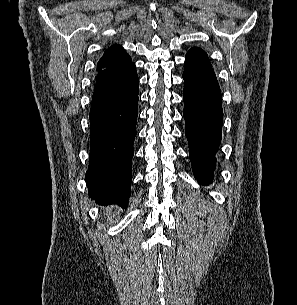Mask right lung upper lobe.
<instances>
[{"mask_svg":"<svg viewBox=\"0 0 297 305\" xmlns=\"http://www.w3.org/2000/svg\"><path fill=\"white\" fill-rule=\"evenodd\" d=\"M131 63L130 56L119 45L115 44L108 48L98 62V74L96 82L105 80L124 70Z\"/></svg>","mask_w":297,"mask_h":305,"instance_id":"1","label":"right lung upper lobe"}]
</instances>
